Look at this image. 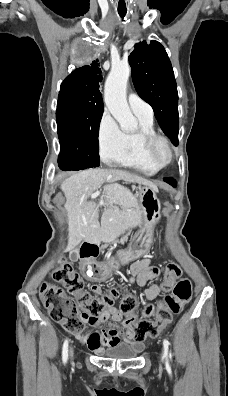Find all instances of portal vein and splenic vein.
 I'll use <instances>...</instances> for the list:
<instances>
[{
	"label": "portal vein and splenic vein",
	"mask_w": 228,
	"mask_h": 396,
	"mask_svg": "<svg viewBox=\"0 0 228 396\" xmlns=\"http://www.w3.org/2000/svg\"><path fill=\"white\" fill-rule=\"evenodd\" d=\"M100 194V192H95L91 195V199H95L96 197H98Z\"/></svg>",
	"instance_id": "18ae733b"
}]
</instances>
